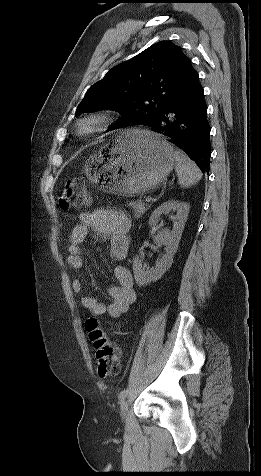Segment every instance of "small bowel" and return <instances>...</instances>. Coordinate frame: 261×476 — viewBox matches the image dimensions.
<instances>
[{
	"label": "small bowel",
	"instance_id": "1",
	"mask_svg": "<svg viewBox=\"0 0 261 476\" xmlns=\"http://www.w3.org/2000/svg\"><path fill=\"white\" fill-rule=\"evenodd\" d=\"M80 219L81 223L75 225L69 235L67 264L71 269H82L81 245L87 240L91 232L95 233L99 238L109 239L111 259L115 261L125 259L129 247L128 232L131 228V219L127 214L114 209H97L82 213ZM113 273L116 284L112 285L108 290L111 298L109 304L106 305L88 296L83 297L81 300L82 305L93 316L101 317L104 314H108L112 318H118L127 312L136 300L131 272L126 267L117 265ZM72 290L76 294H80L83 291L80 279L73 280Z\"/></svg>",
	"mask_w": 261,
	"mask_h": 476
}]
</instances>
